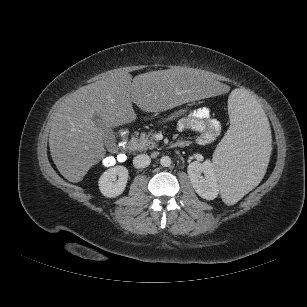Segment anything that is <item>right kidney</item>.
<instances>
[{
	"mask_svg": "<svg viewBox=\"0 0 307 307\" xmlns=\"http://www.w3.org/2000/svg\"><path fill=\"white\" fill-rule=\"evenodd\" d=\"M128 170L124 166H115L106 170L99 178L100 192L107 198H115L123 193L128 181Z\"/></svg>",
	"mask_w": 307,
	"mask_h": 307,
	"instance_id": "obj_1",
	"label": "right kidney"
}]
</instances>
